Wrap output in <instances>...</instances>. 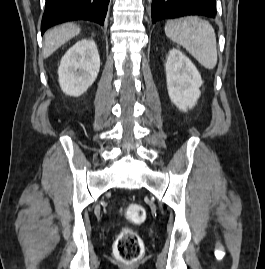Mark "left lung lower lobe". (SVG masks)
Instances as JSON below:
<instances>
[{"label": "left lung lower lobe", "instance_id": "obj_1", "mask_svg": "<svg viewBox=\"0 0 265 269\" xmlns=\"http://www.w3.org/2000/svg\"><path fill=\"white\" fill-rule=\"evenodd\" d=\"M152 22L187 15L214 18L217 14L215 0H153Z\"/></svg>", "mask_w": 265, "mask_h": 269}]
</instances>
